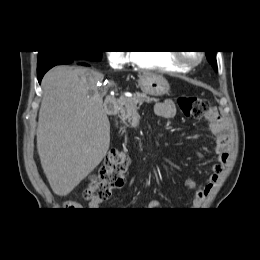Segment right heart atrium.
Returning <instances> with one entry per match:
<instances>
[{"label": "right heart atrium", "mask_w": 260, "mask_h": 260, "mask_svg": "<svg viewBox=\"0 0 260 260\" xmlns=\"http://www.w3.org/2000/svg\"><path fill=\"white\" fill-rule=\"evenodd\" d=\"M107 57L110 65L114 68H121L132 61L131 54L124 51H110Z\"/></svg>", "instance_id": "d8ad5b80"}]
</instances>
